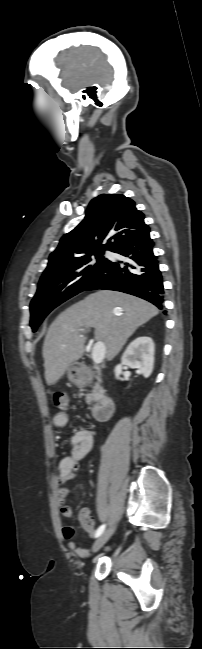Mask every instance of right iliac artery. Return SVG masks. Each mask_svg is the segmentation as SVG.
Listing matches in <instances>:
<instances>
[{"label": "right iliac artery", "instance_id": "1", "mask_svg": "<svg viewBox=\"0 0 202 649\" xmlns=\"http://www.w3.org/2000/svg\"><path fill=\"white\" fill-rule=\"evenodd\" d=\"M105 527H106V525L103 524L97 529V531L95 533V538L99 537L104 532Z\"/></svg>", "mask_w": 202, "mask_h": 649}]
</instances>
